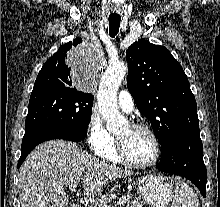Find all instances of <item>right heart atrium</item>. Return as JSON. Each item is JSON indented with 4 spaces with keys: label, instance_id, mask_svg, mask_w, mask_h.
Returning <instances> with one entry per match:
<instances>
[{
    "label": "right heart atrium",
    "instance_id": "d8ad5b80",
    "mask_svg": "<svg viewBox=\"0 0 220 207\" xmlns=\"http://www.w3.org/2000/svg\"><path fill=\"white\" fill-rule=\"evenodd\" d=\"M87 141L96 154L104 151L114 142V137L108 132L104 121L96 109L90 113L87 124Z\"/></svg>",
    "mask_w": 220,
    "mask_h": 207
}]
</instances>
